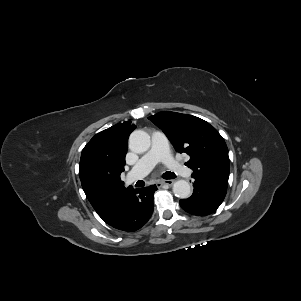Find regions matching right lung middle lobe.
I'll use <instances>...</instances> for the list:
<instances>
[{"instance_id": "dd1d6c3e", "label": "right lung middle lobe", "mask_w": 301, "mask_h": 301, "mask_svg": "<svg viewBox=\"0 0 301 301\" xmlns=\"http://www.w3.org/2000/svg\"><path fill=\"white\" fill-rule=\"evenodd\" d=\"M95 184L100 189H105V188H107L109 186V182L106 179H104V178H98L95 181Z\"/></svg>"}]
</instances>
